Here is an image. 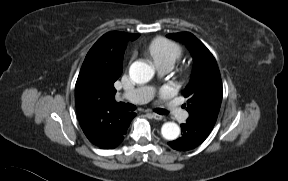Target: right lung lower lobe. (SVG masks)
Listing matches in <instances>:
<instances>
[{"mask_svg": "<svg viewBox=\"0 0 288 181\" xmlns=\"http://www.w3.org/2000/svg\"><path fill=\"white\" fill-rule=\"evenodd\" d=\"M135 113L134 112H129V116H128V122H127V126L124 128V131L122 132V134H121V140H120V143L122 142V140H123V138H124V134L126 133V131H127V128L129 127V124H130V122H131V120L135 117ZM119 143V144H120ZM118 144V145H119Z\"/></svg>", "mask_w": 288, "mask_h": 181, "instance_id": "right-lung-lower-lobe-1", "label": "right lung lower lobe"}]
</instances>
